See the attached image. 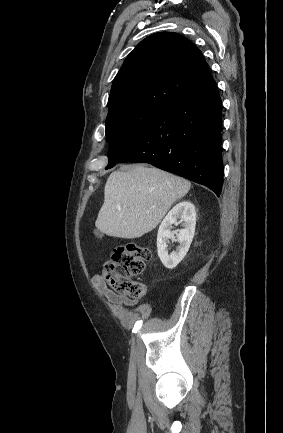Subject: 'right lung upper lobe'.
Segmentation results:
<instances>
[{"label": "right lung upper lobe", "instance_id": "obj_1", "mask_svg": "<svg viewBox=\"0 0 283 433\" xmlns=\"http://www.w3.org/2000/svg\"><path fill=\"white\" fill-rule=\"evenodd\" d=\"M214 82L201 51L189 39L159 32L128 55L113 81L108 108L147 105L164 109Z\"/></svg>", "mask_w": 283, "mask_h": 433}]
</instances>
